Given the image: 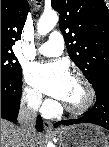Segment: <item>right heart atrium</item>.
Listing matches in <instances>:
<instances>
[{"label": "right heart atrium", "instance_id": "1", "mask_svg": "<svg viewBox=\"0 0 109 147\" xmlns=\"http://www.w3.org/2000/svg\"><path fill=\"white\" fill-rule=\"evenodd\" d=\"M24 101L33 109L44 111L47 108H51L52 104L50 101H43L39 91L31 87H25L23 90Z\"/></svg>", "mask_w": 109, "mask_h": 147}]
</instances>
